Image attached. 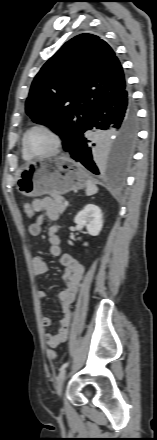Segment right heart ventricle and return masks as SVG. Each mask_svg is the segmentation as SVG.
Instances as JSON below:
<instances>
[{
    "label": "right heart ventricle",
    "instance_id": "obj_1",
    "mask_svg": "<svg viewBox=\"0 0 157 440\" xmlns=\"http://www.w3.org/2000/svg\"><path fill=\"white\" fill-rule=\"evenodd\" d=\"M22 155H23V157H24L25 159H29V158H30V156L25 152V150H24V148H23V145H22Z\"/></svg>",
    "mask_w": 157,
    "mask_h": 440
}]
</instances>
